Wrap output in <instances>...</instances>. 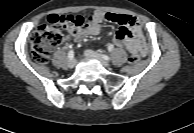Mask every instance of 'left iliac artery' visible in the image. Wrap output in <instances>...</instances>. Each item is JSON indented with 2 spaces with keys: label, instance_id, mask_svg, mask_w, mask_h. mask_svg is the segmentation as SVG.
Listing matches in <instances>:
<instances>
[{
  "label": "left iliac artery",
  "instance_id": "1",
  "mask_svg": "<svg viewBox=\"0 0 194 133\" xmlns=\"http://www.w3.org/2000/svg\"><path fill=\"white\" fill-rule=\"evenodd\" d=\"M100 56H101L104 60H106V61H109V60H110V57L107 56V55H105V54H101Z\"/></svg>",
  "mask_w": 194,
  "mask_h": 133
}]
</instances>
